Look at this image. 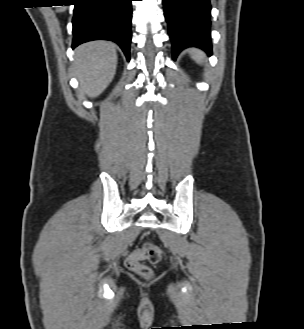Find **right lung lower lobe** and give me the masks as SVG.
Returning a JSON list of instances; mask_svg holds the SVG:
<instances>
[{
	"label": "right lung lower lobe",
	"instance_id": "98d812e1",
	"mask_svg": "<svg viewBox=\"0 0 304 329\" xmlns=\"http://www.w3.org/2000/svg\"><path fill=\"white\" fill-rule=\"evenodd\" d=\"M72 48L91 40L117 43L130 59L132 0H74Z\"/></svg>",
	"mask_w": 304,
	"mask_h": 329
}]
</instances>
